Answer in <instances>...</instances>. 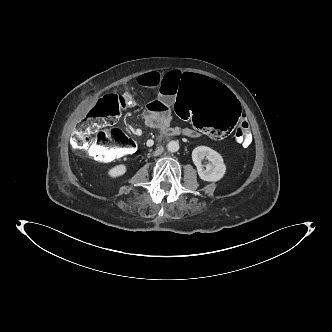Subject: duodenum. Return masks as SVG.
<instances>
[{
    "label": "duodenum",
    "mask_w": 332,
    "mask_h": 332,
    "mask_svg": "<svg viewBox=\"0 0 332 332\" xmlns=\"http://www.w3.org/2000/svg\"><path fill=\"white\" fill-rule=\"evenodd\" d=\"M161 135L165 138H169L174 136L185 135V132L177 128L163 127L161 129Z\"/></svg>",
    "instance_id": "1"
}]
</instances>
